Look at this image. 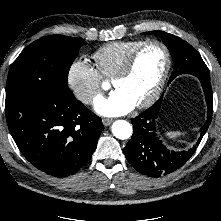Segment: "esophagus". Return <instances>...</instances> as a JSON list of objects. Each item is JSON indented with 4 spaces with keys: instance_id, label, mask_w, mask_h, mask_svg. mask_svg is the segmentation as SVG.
Segmentation results:
<instances>
[{
    "instance_id": "34e87169",
    "label": "esophagus",
    "mask_w": 221,
    "mask_h": 221,
    "mask_svg": "<svg viewBox=\"0 0 221 221\" xmlns=\"http://www.w3.org/2000/svg\"><path fill=\"white\" fill-rule=\"evenodd\" d=\"M102 122L105 126H109L113 122V120L109 118H103Z\"/></svg>"
}]
</instances>
